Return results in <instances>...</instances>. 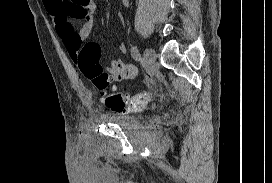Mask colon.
I'll use <instances>...</instances> for the list:
<instances>
[{"mask_svg": "<svg viewBox=\"0 0 272 183\" xmlns=\"http://www.w3.org/2000/svg\"><path fill=\"white\" fill-rule=\"evenodd\" d=\"M100 52V46L95 42H88L82 47L77 61L82 74L93 83L111 110L126 113L142 110L149 101V94L142 92L126 96L113 92L110 77L99 63Z\"/></svg>", "mask_w": 272, "mask_h": 183, "instance_id": "colon-1", "label": "colon"}]
</instances>
